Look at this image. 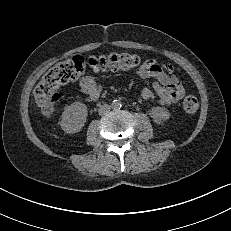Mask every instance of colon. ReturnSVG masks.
I'll list each match as a JSON object with an SVG mask.
<instances>
[{"label":"colon","instance_id":"colon-1","mask_svg":"<svg viewBox=\"0 0 231 231\" xmlns=\"http://www.w3.org/2000/svg\"><path fill=\"white\" fill-rule=\"evenodd\" d=\"M140 57L130 53H110L107 55L74 56L50 68L41 78L34 90L37 106L46 117L54 112V105L59 98L58 90L65 84L76 81L87 68L92 71H123L136 68L140 64ZM199 107L198 100L188 95L183 100V109L187 113H195Z\"/></svg>","mask_w":231,"mask_h":231}]
</instances>
